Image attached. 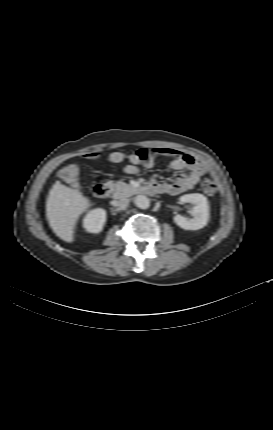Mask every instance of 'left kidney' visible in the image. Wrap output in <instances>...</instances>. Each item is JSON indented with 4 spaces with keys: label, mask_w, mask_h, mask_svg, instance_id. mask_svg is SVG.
Wrapping results in <instances>:
<instances>
[{
    "label": "left kidney",
    "mask_w": 273,
    "mask_h": 430,
    "mask_svg": "<svg viewBox=\"0 0 273 430\" xmlns=\"http://www.w3.org/2000/svg\"><path fill=\"white\" fill-rule=\"evenodd\" d=\"M180 203H191L193 218H186L181 215L174 216V222L185 230H199L207 225L210 218L209 202L207 197L199 193L185 194L179 198Z\"/></svg>",
    "instance_id": "1"
}]
</instances>
